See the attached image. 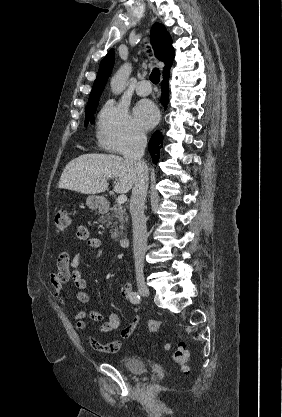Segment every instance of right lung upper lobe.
<instances>
[{"instance_id":"obj_1","label":"right lung upper lobe","mask_w":282,"mask_h":417,"mask_svg":"<svg viewBox=\"0 0 282 417\" xmlns=\"http://www.w3.org/2000/svg\"><path fill=\"white\" fill-rule=\"evenodd\" d=\"M151 43L154 47L156 57L165 63L164 72L168 71L174 60V49L172 39L164 25L156 23L151 29ZM114 49H111L101 61L96 80L94 81L90 96L101 95L106 81L114 66ZM89 96V97H90Z\"/></svg>"}]
</instances>
